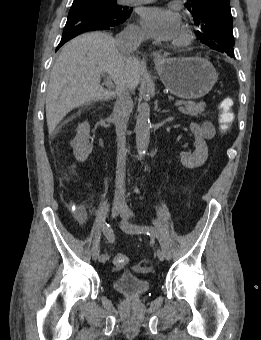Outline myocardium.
Returning <instances> with one entry per match:
<instances>
[{"label":"myocardium","instance_id":"obj_1","mask_svg":"<svg viewBox=\"0 0 261 340\" xmlns=\"http://www.w3.org/2000/svg\"><path fill=\"white\" fill-rule=\"evenodd\" d=\"M190 36L186 32H182L174 41L175 46L182 47L190 43Z\"/></svg>","mask_w":261,"mask_h":340}]
</instances>
